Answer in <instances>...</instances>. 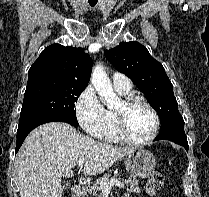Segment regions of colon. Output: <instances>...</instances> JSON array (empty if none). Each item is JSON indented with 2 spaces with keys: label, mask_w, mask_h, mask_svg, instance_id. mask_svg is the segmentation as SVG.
I'll use <instances>...</instances> for the list:
<instances>
[{
  "label": "colon",
  "mask_w": 209,
  "mask_h": 197,
  "mask_svg": "<svg viewBox=\"0 0 209 197\" xmlns=\"http://www.w3.org/2000/svg\"><path fill=\"white\" fill-rule=\"evenodd\" d=\"M165 176L161 171H154L146 183V192L149 195H154L163 186Z\"/></svg>",
  "instance_id": "colon-1"
}]
</instances>
